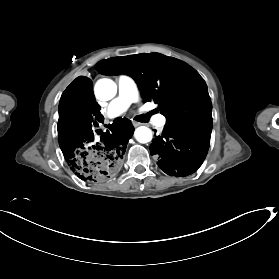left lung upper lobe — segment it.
Here are the masks:
<instances>
[{"label":"left lung upper lobe","instance_id":"5c2ea615","mask_svg":"<svg viewBox=\"0 0 279 279\" xmlns=\"http://www.w3.org/2000/svg\"><path fill=\"white\" fill-rule=\"evenodd\" d=\"M104 75L126 74L145 101L158 104L169 125L212 126V104L201 76L185 62L160 53L113 57L95 65Z\"/></svg>","mask_w":279,"mask_h":279}]
</instances>
